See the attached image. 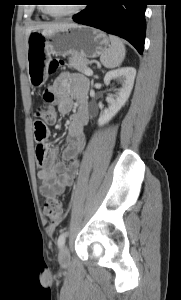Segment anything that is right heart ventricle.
Wrapping results in <instances>:
<instances>
[{"mask_svg":"<svg viewBox=\"0 0 181 300\" xmlns=\"http://www.w3.org/2000/svg\"><path fill=\"white\" fill-rule=\"evenodd\" d=\"M41 12H42L43 14H45V12H44V10H43V9H41Z\"/></svg>","mask_w":181,"mask_h":300,"instance_id":"obj_1","label":"right heart ventricle"}]
</instances>
